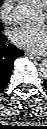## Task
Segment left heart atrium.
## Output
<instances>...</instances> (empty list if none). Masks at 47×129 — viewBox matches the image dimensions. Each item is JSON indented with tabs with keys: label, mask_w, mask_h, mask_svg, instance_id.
<instances>
[{
	"label": "left heart atrium",
	"mask_w": 47,
	"mask_h": 129,
	"mask_svg": "<svg viewBox=\"0 0 47 129\" xmlns=\"http://www.w3.org/2000/svg\"><path fill=\"white\" fill-rule=\"evenodd\" d=\"M13 41L32 52H40L46 42V29L42 24H25L13 32Z\"/></svg>",
	"instance_id": "1"
}]
</instances>
